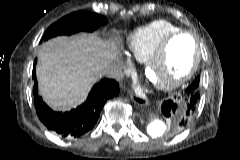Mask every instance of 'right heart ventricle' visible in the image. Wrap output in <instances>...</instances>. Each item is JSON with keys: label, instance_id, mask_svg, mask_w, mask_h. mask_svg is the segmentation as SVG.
Instances as JSON below:
<instances>
[{"label": "right heart ventricle", "instance_id": "right-heart-ventricle-1", "mask_svg": "<svg viewBox=\"0 0 240 160\" xmlns=\"http://www.w3.org/2000/svg\"><path fill=\"white\" fill-rule=\"evenodd\" d=\"M180 28L166 20H156L132 31L127 37L129 54L144 63L171 33Z\"/></svg>", "mask_w": 240, "mask_h": 160}]
</instances>
